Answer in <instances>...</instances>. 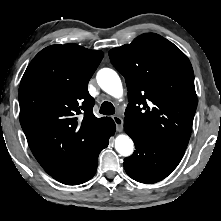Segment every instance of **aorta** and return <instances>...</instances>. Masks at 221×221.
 <instances>
[{
	"instance_id": "obj_1",
	"label": "aorta",
	"mask_w": 221,
	"mask_h": 221,
	"mask_svg": "<svg viewBox=\"0 0 221 221\" xmlns=\"http://www.w3.org/2000/svg\"><path fill=\"white\" fill-rule=\"evenodd\" d=\"M97 82L99 86L108 94L115 98H119L123 94L122 82L118 74L110 69L103 68L97 73ZM116 151L122 156H130L134 150V144L127 135H118L115 139Z\"/></svg>"
}]
</instances>
